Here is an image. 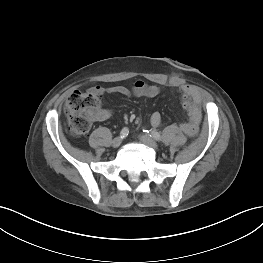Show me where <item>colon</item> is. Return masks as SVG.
Segmentation results:
<instances>
[{
    "label": "colon",
    "mask_w": 263,
    "mask_h": 263,
    "mask_svg": "<svg viewBox=\"0 0 263 263\" xmlns=\"http://www.w3.org/2000/svg\"><path fill=\"white\" fill-rule=\"evenodd\" d=\"M101 103V94L93 90L75 91L69 96L65 113L71 135L81 137L89 131L92 121L101 113ZM181 105L184 111L191 112L192 103L184 94L181 96Z\"/></svg>",
    "instance_id": "5ec220e1"
}]
</instances>
